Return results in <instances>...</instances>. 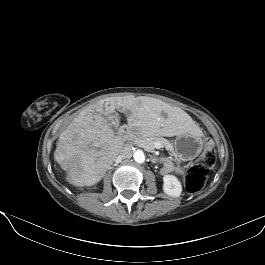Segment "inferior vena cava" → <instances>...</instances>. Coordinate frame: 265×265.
Instances as JSON below:
<instances>
[{"instance_id":"602c4592","label":"inferior vena cava","mask_w":265,"mask_h":265,"mask_svg":"<svg viewBox=\"0 0 265 265\" xmlns=\"http://www.w3.org/2000/svg\"><path fill=\"white\" fill-rule=\"evenodd\" d=\"M120 157L123 159H130L132 157V149L129 145L123 146Z\"/></svg>"}]
</instances>
